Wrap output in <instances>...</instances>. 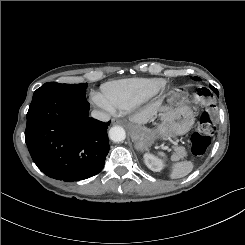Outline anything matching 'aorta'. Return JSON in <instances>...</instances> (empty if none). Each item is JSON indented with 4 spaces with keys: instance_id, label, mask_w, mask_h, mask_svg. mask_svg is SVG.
<instances>
[{
    "instance_id": "aorta-1",
    "label": "aorta",
    "mask_w": 245,
    "mask_h": 245,
    "mask_svg": "<svg viewBox=\"0 0 245 245\" xmlns=\"http://www.w3.org/2000/svg\"><path fill=\"white\" fill-rule=\"evenodd\" d=\"M109 138L114 142H121L126 138V132L121 126H114L109 130Z\"/></svg>"
}]
</instances>
